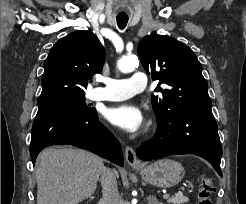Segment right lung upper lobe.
<instances>
[{
  "mask_svg": "<svg viewBox=\"0 0 246 204\" xmlns=\"http://www.w3.org/2000/svg\"><path fill=\"white\" fill-rule=\"evenodd\" d=\"M105 49L90 31H75L55 43L44 61L42 92L38 101L67 93L85 92L88 82L100 73Z\"/></svg>",
  "mask_w": 246,
  "mask_h": 204,
  "instance_id": "obj_1",
  "label": "right lung upper lobe"
}]
</instances>
